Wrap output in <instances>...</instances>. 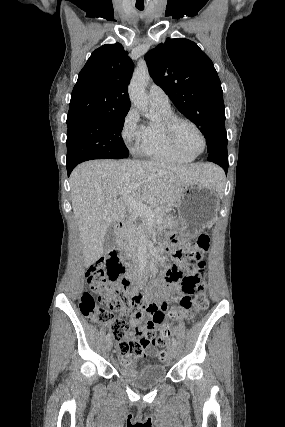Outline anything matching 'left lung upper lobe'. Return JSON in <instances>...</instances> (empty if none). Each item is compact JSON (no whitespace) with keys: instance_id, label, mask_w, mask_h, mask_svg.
I'll return each instance as SVG.
<instances>
[{"instance_id":"obj_1","label":"left lung upper lobe","mask_w":285,"mask_h":427,"mask_svg":"<svg viewBox=\"0 0 285 427\" xmlns=\"http://www.w3.org/2000/svg\"><path fill=\"white\" fill-rule=\"evenodd\" d=\"M145 61L154 82L201 130L208 153L227 141L221 82L212 61L196 43L167 38L146 53Z\"/></svg>"}]
</instances>
